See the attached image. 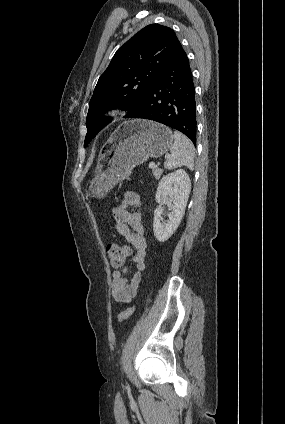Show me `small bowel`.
<instances>
[{
	"mask_svg": "<svg viewBox=\"0 0 285 424\" xmlns=\"http://www.w3.org/2000/svg\"><path fill=\"white\" fill-rule=\"evenodd\" d=\"M141 204L142 198L140 193L127 191L120 205L113 211L116 231L135 251L132 256V263L135 270L131 276H129V269L123 266L124 262L120 266H116L118 269L112 273L111 294L121 304L130 302L137 295L145 270L147 242L140 212ZM128 208H132L133 211H128ZM130 253L131 251L128 248L127 257Z\"/></svg>",
	"mask_w": 285,
	"mask_h": 424,
	"instance_id": "1",
	"label": "small bowel"
}]
</instances>
